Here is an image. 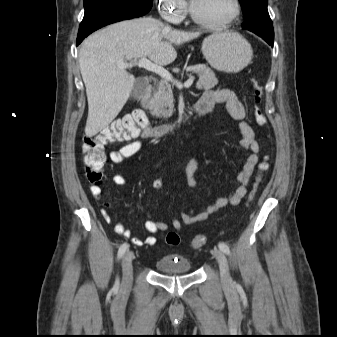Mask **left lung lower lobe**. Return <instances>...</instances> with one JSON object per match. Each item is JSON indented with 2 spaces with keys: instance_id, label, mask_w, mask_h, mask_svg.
Instances as JSON below:
<instances>
[{
  "instance_id": "obj_1",
  "label": "left lung lower lobe",
  "mask_w": 337,
  "mask_h": 337,
  "mask_svg": "<svg viewBox=\"0 0 337 337\" xmlns=\"http://www.w3.org/2000/svg\"><path fill=\"white\" fill-rule=\"evenodd\" d=\"M247 30L257 34L258 36L263 38L269 45L273 47L274 33H269V32L258 30V29H247Z\"/></svg>"
}]
</instances>
